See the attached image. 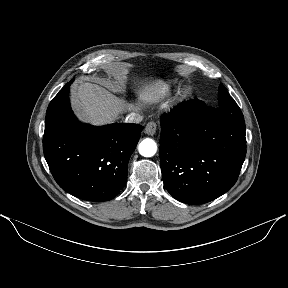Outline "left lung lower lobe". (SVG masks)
<instances>
[{"instance_id": "obj_1", "label": "left lung lower lobe", "mask_w": 288, "mask_h": 288, "mask_svg": "<svg viewBox=\"0 0 288 288\" xmlns=\"http://www.w3.org/2000/svg\"><path fill=\"white\" fill-rule=\"evenodd\" d=\"M160 123L162 178L175 199L207 203L236 183L246 155L245 127L211 114L199 99L163 115Z\"/></svg>"}]
</instances>
